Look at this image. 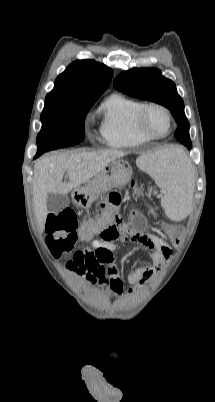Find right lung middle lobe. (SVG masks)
<instances>
[{
	"label": "right lung middle lobe",
	"mask_w": 215,
	"mask_h": 402,
	"mask_svg": "<svg viewBox=\"0 0 215 402\" xmlns=\"http://www.w3.org/2000/svg\"><path fill=\"white\" fill-rule=\"evenodd\" d=\"M98 98L45 99L41 114L42 128L37 136V154L73 146L84 137L85 116Z\"/></svg>",
	"instance_id": "1"
}]
</instances>
